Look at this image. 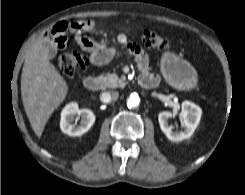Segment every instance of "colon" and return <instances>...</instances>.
<instances>
[{"label": "colon", "instance_id": "1", "mask_svg": "<svg viewBox=\"0 0 245 195\" xmlns=\"http://www.w3.org/2000/svg\"><path fill=\"white\" fill-rule=\"evenodd\" d=\"M141 42L145 47L150 49L165 50L169 46L165 38L151 30H145L142 33ZM87 64V58L80 53L67 52L58 57L56 69L63 76L74 78L87 67Z\"/></svg>", "mask_w": 245, "mask_h": 195}]
</instances>
